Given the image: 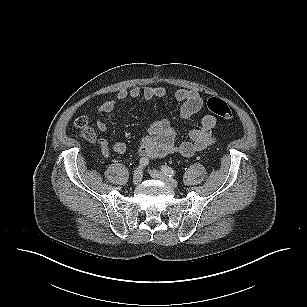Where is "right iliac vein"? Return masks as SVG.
<instances>
[{
  "label": "right iliac vein",
  "mask_w": 307,
  "mask_h": 307,
  "mask_svg": "<svg viewBox=\"0 0 307 307\" xmlns=\"http://www.w3.org/2000/svg\"><path fill=\"white\" fill-rule=\"evenodd\" d=\"M143 173L141 168H137L133 174V185H138L142 181Z\"/></svg>",
  "instance_id": "obj_1"
}]
</instances>
